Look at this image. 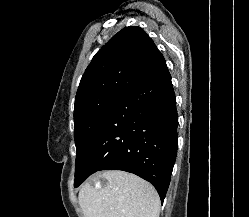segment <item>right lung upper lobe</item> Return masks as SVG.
<instances>
[{
  "instance_id": "cb5924a9",
  "label": "right lung upper lobe",
  "mask_w": 249,
  "mask_h": 217,
  "mask_svg": "<svg viewBox=\"0 0 249 217\" xmlns=\"http://www.w3.org/2000/svg\"><path fill=\"white\" fill-rule=\"evenodd\" d=\"M162 59L163 55L142 28L125 27L95 54L86 68L75 107L103 93H126Z\"/></svg>"
}]
</instances>
